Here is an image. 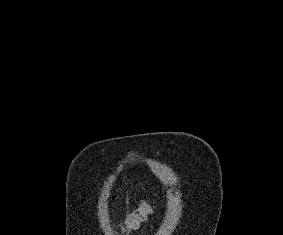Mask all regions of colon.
<instances>
[{"label":"colon","instance_id":"colon-1","mask_svg":"<svg viewBox=\"0 0 283 235\" xmlns=\"http://www.w3.org/2000/svg\"><path fill=\"white\" fill-rule=\"evenodd\" d=\"M152 204H153V199L148 198L146 200H143L137 210L132 214L131 219L133 221H139L145 216L149 215L152 211Z\"/></svg>","mask_w":283,"mask_h":235}]
</instances>
